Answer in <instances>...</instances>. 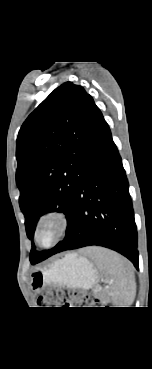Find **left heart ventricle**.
Listing matches in <instances>:
<instances>
[{
	"label": "left heart ventricle",
	"mask_w": 152,
	"mask_h": 369,
	"mask_svg": "<svg viewBox=\"0 0 152 369\" xmlns=\"http://www.w3.org/2000/svg\"><path fill=\"white\" fill-rule=\"evenodd\" d=\"M56 234V227L53 224L46 225L41 233H40V240L43 244H48L52 241Z\"/></svg>",
	"instance_id": "obj_1"
}]
</instances>
